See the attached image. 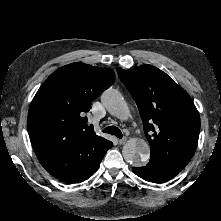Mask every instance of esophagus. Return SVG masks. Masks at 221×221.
I'll use <instances>...</instances> for the list:
<instances>
[{
  "label": "esophagus",
  "instance_id": "esophagus-1",
  "mask_svg": "<svg viewBox=\"0 0 221 221\" xmlns=\"http://www.w3.org/2000/svg\"><path fill=\"white\" fill-rule=\"evenodd\" d=\"M126 142H127V138L118 139V143H119L120 145H123V144H125Z\"/></svg>",
  "mask_w": 221,
  "mask_h": 221
}]
</instances>
